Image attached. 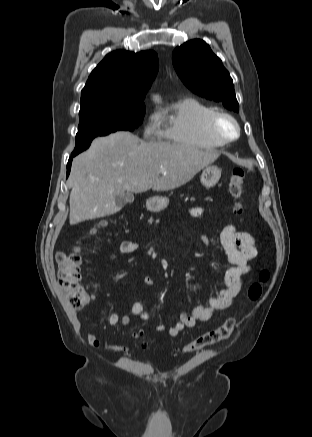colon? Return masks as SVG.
<instances>
[{
	"label": "colon",
	"mask_w": 312,
	"mask_h": 437,
	"mask_svg": "<svg viewBox=\"0 0 312 437\" xmlns=\"http://www.w3.org/2000/svg\"><path fill=\"white\" fill-rule=\"evenodd\" d=\"M244 183V170L242 168H235L230 177L229 191L235 201L234 209L236 213L243 211L241 197ZM56 260L59 266V285L69 305L76 310L83 308L89 302V295L81 283V256L79 249L74 247L68 251H60L56 256ZM269 278L270 273L268 270L263 269L259 273L258 280L253 282L248 288L247 295L250 300L257 301L261 297L264 286ZM235 323L234 318L226 319L219 327L205 332L186 345L184 351L196 352L228 339L235 328Z\"/></svg>",
	"instance_id": "obj_1"
}]
</instances>
